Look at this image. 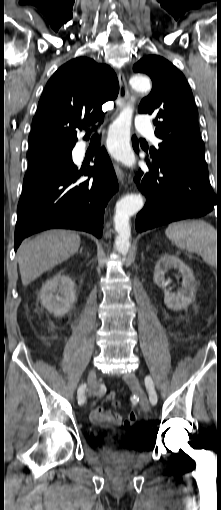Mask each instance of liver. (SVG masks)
I'll list each match as a JSON object with an SVG mask.
<instances>
[{
	"mask_svg": "<svg viewBox=\"0 0 221 510\" xmlns=\"http://www.w3.org/2000/svg\"><path fill=\"white\" fill-rule=\"evenodd\" d=\"M80 236L72 231L50 230L24 241L18 249L22 284L29 285L44 272L66 261L80 247Z\"/></svg>",
	"mask_w": 221,
	"mask_h": 510,
	"instance_id": "obj_1",
	"label": "liver"
}]
</instances>
